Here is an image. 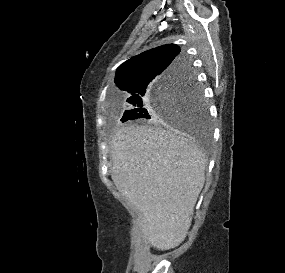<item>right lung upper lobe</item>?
I'll return each mask as SVG.
<instances>
[{"instance_id":"right-lung-upper-lobe-1","label":"right lung upper lobe","mask_w":285,"mask_h":273,"mask_svg":"<svg viewBox=\"0 0 285 273\" xmlns=\"http://www.w3.org/2000/svg\"><path fill=\"white\" fill-rule=\"evenodd\" d=\"M187 68L189 65L177 45H162L136 55L120 65L116 71L115 83L122 91L129 93L127 100H130L148 92L165 77L182 73Z\"/></svg>"}]
</instances>
